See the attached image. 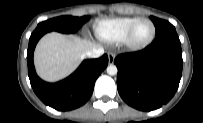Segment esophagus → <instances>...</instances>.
Wrapping results in <instances>:
<instances>
[{
  "instance_id": "34e87169",
  "label": "esophagus",
  "mask_w": 203,
  "mask_h": 123,
  "mask_svg": "<svg viewBox=\"0 0 203 123\" xmlns=\"http://www.w3.org/2000/svg\"><path fill=\"white\" fill-rule=\"evenodd\" d=\"M114 59H115V55L113 53H109L108 54L109 64H113L114 63Z\"/></svg>"
}]
</instances>
